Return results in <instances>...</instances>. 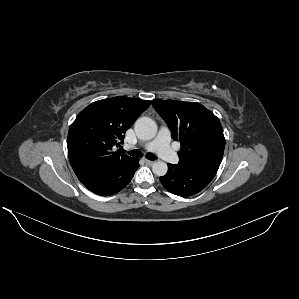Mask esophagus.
I'll list each match as a JSON object with an SVG mask.
<instances>
[{
	"label": "esophagus",
	"instance_id": "esophagus-1",
	"mask_svg": "<svg viewBox=\"0 0 299 299\" xmlns=\"http://www.w3.org/2000/svg\"><path fill=\"white\" fill-rule=\"evenodd\" d=\"M145 162L148 164V165H152L154 163V161H151V160H148V159H145Z\"/></svg>",
	"mask_w": 299,
	"mask_h": 299
}]
</instances>
